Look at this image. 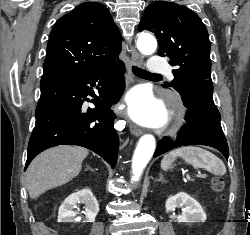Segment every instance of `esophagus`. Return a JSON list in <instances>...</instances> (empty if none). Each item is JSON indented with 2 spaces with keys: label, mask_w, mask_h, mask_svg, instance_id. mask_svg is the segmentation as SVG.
I'll return each mask as SVG.
<instances>
[{
  "label": "esophagus",
  "mask_w": 250,
  "mask_h": 235,
  "mask_svg": "<svg viewBox=\"0 0 250 235\" xmlns=\"http://www.w3.org/2000/svg\"><path fill=\"white\" fill-rule=\"evenodd\" d=\"M131 64L132 65H141L142 57L139 53H137L134 49H131ZM130 131L135 136H140L143 133L142 128L137 126L134 123L130 124Z\"/></svg>",
  "instance_id": "esophagus-1"
}]
</instances>
